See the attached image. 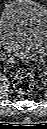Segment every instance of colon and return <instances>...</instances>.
<instances>
[{"label":"colon","instance_id":"5ec220e1","mask_svg":"<svg viewBox=\"0 0 47 129\" xmlns=\"http://www.w3.org/2000/svg\"><path fill=\"white\" fill-rule=\"evenodd\" d=\"M34 86L33 76L29 72H20L13 79V88L16 92L25 94L32 90Z\"/></svg>","mask_w":47,"mask_h":129}]
</instances>
